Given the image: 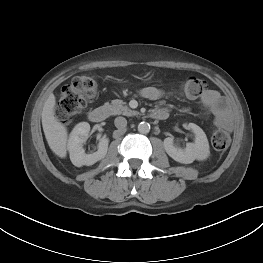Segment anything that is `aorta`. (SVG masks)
Returning a JSON list of instances; mask_svg holds the SVG:
<instances>
[{"instance_id": "762f6f07", "label": "aorta", "mask_w": 263, "mask_h": 263, "mask_svg": "<svg viewBox=\"0 0 263 263\" xmlns=\"http://www.w3.org/2000/svg\"><path fill=\"white\" fill-rule=\"evenodd\" d=\"M138 131H139L141 134H147V133H149V131H150V124L147 123V122H141V123H139V125H138Z\"/></svg>"}]
</instances>
